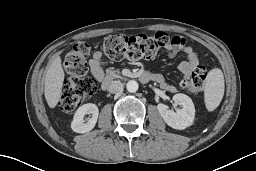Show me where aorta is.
Here are the masks:
<instances>
[{"label":"aorta","instance_id":"1","mask_svg":"<svg viewBox=\"0 0 256 171\" xmlns=\"http://www.w3.org/2000/svg\"><path fill=\"white\" fill-rule=\"evenodd\" d=\"M138 83L134 80H130L126 84V88L130 93H135L138 90Z\"/></svg>","mask_w":256,"mask_h":171}]
</instances>
